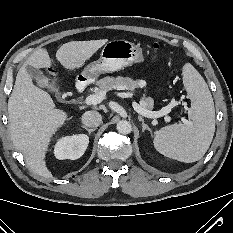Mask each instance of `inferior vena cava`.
Masks as SVG:
<instances>
[{
  "label": "inferior vena cava",
  "mask_w": 233,
  "mask_h": 233,
  "mask_svg": "<svg viewBox=\"0 0 233 233\" xmlns=\"http://www.w3.org/2000/svg\"><path fill=\"white\" fill-rule=\"evenodd\" d=\"M82 122L87 127H98L102 123V116L96 111H87L82 115Z\"/></svg>",
  "instance_id": "1"
}]
</instances>
